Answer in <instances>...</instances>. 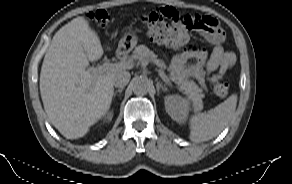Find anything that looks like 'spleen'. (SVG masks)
<instances>
[{"instance_id":"spleen-1","label":"spleen","mask_w":292,"mask_h":184,"mask_svg":"<svg viewBox=\"0 0 292 184\" xmlns=\"http://www.w3.org/2000/svg\"><path fill=\"white\" fill-rule=\"evenodd\" d=\"M236 105L237 95L233 94L207 113L192 115L189 119L190 140L204 142L217 136L229 123Z\"/></svg>"}]
</instances>
